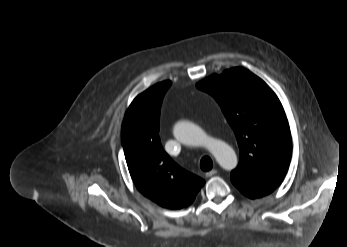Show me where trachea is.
<instances>
[{
	"instance_id": "3493384b",
	"label": "trachea",
	"mask_w": 347,
	"mask_h": 247,
	"mask_svg": "<svg viewBox=\"0 0 347 247\" xmlns=\"http://www.w3.org/2000/svg\"><path fill=\"white\" fill-rule=\"evenodd\" d=\"M200 167L203 171H210L213 167V162L210 157L204 156L200 160Z\"/></svg>"
}]
</instances>
